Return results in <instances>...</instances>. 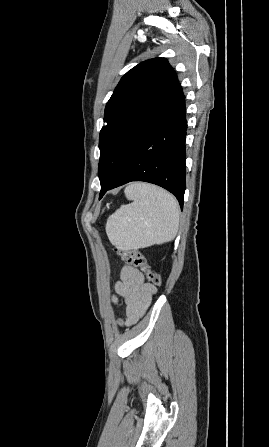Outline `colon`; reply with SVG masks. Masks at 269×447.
<instances>
[{
  "label": "colon",
  "mask_w": 269,
  "mask_h": 447,
  "mask_svg": "<svg viewBox=\"0 0 269 447\" xmlns=\"http://www.w3.org/2000/svg\"><path fill=\"white\" fill-rule=\"evenodd\" d=\"M116 254L124 262L141 270L152 285H161V276L148 265L142 252L139 250L116 249Z\"/></svg>",
  "instance_id": "obj_1"
}]
</instances>
